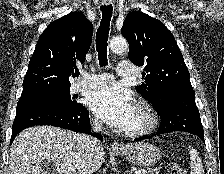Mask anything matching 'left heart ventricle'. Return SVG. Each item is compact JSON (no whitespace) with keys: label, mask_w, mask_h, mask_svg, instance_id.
I'll use <instances>...</instances> for the list:
<instances>
[{"label":"left heart ventricle","mask_w":224,"mask_h":174,"mask_svg":"<svg viewBox=\"0 0 224 174\" xmlns=\"http://www.w3.org/2000/svg\"><path fill=\"white\" fill-rule=\"evenodd\" d=\"M142 123H143L142 115L139 112V110L136 108L135 114L125 130L135 129V128L141 126Z\"/></svg>","instance_id":"left-heart-ventricle-1"}]
</instances>
